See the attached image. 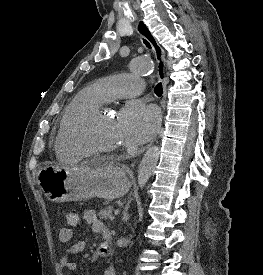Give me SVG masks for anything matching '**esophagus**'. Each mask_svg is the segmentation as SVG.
I'll use <instances>...</instances> for the list:
<instances>
[{
    "mask_svg": "<svg viewBox=\"0 0 263 275\" xmlns=\"http://www.w3.org/2000/svg\"><path fill=\"white\" fill-rule=\"evenodd\" d=\"M137 31L144 38H146L151 44V46L153 47L156 62H157V74L159 79L162 81V85H163V97L161 101V107H162V110H164L165 103H166L167 84H168V77L166 76L165 52L144 22H139L137 24ZM160 129H161V124L159 126L158 133ZM151 143L147 147H149Z\"/></svg>",
    "mask_w": 263,
    "mask_h": 275,
    "instance_id": "esophagus-1",
    "label": "esophagus"
}]
</instances>
